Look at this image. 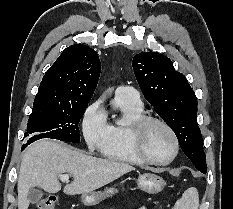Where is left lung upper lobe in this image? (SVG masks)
Wrapping results in <instances>:
<instances>
[{"label": "left lung upper lobe", "instance_id": "5c2ea615", "mask_svg": "<svg viewBox=\"0 0 233 209\" xmlns=\"http://www.w3.org/2000/svg\"><path fill=\"white\" fill-rule=\"evenodd\" d=\"M137 82L146 100L176 134L185 155L200 171L206 156L197 123V98L186 77L172 61L156 52H142L132 61Z\"/></svg>", "mask_w": 233, "mask_h": 209}]
</instances>
